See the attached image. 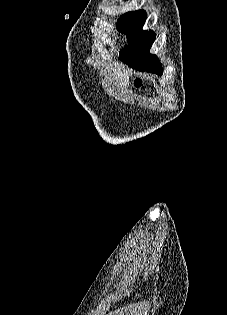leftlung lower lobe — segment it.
Here are the masks:
<instances>
[{"instance_id":"obj_1","label":"left lung lower lobe","mask_w":227,"mask_h":315,"mask_svg":"<svg viewBox=\"0 0 227 315\" xmlns=\"http://www.w3.org/2000/svg\"><path fill=\"white\" fill-rule=\"evenodd\" d=\"M153 41L144 40L140 45L130 50V58L126 64L140 71H152L162 74V66L159 59L149 53Z\"/></svg>"}]
</instances>
